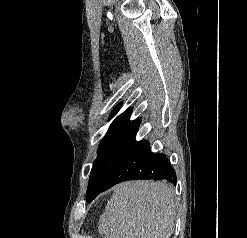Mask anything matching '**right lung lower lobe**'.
<instances>
[{
  "label": "right lung lower lobe",
  "mask_w": 247,
  "mask_h": 238,
  "mask_svg": "<svg viewBox=\"0 0 247 238\" xmlns=\"http://www.w3.org/2000/svg\"><path fill=\"white\" fill-rule=\"evenodd\" d=\"M153 179L176 183L174 169L165 154H153L148 141L134 142L114 168L101 192L126 180Z\"/></svg>",
  "instance_id": "98d812e1"
}]
</instances>
